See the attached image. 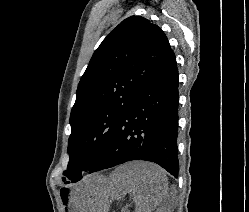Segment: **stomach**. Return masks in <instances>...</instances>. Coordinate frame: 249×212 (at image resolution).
<instances>
[{
  "label": "stomach",
  "mask_w": 249,
  "mask_h": 212,
  "mask_svg": "<svg viewBox=\"0 0 249 212\" xmlns=\"http://www.w3.org/2000/svg\"><path fill=\"white\" fill-rule=\"evenodd\" d=\"M110 184H115V179L90 178L81 184H75L72 188H63L61 200L67 212H104L112 210V205H106L104 201L115 198V193H102L101 189L110 192Z\"/></svg>",
  "instance_id": "obj_1"
}]
</instances>
